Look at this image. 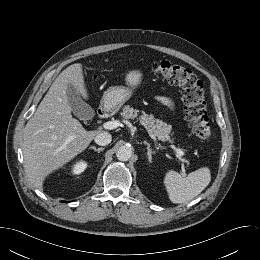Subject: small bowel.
Masks as SVG:
<instances>
[{"label": "small bowel", "mask_w": 260, "mask_h": 260, "mask_svg": "<svg viewBox=\"0 0 260 260\" xmlns=\"http://www.w3.org/2000/svg\"><path fill=\"white\" fill-rule=\"evenodd\" d=\"M157 100H158L159 103H161L163 105H166L168 107H172L173 106L172 102L168 98L159 97Z\"/></svg>", "instance_id": "1"}]
</instances>
